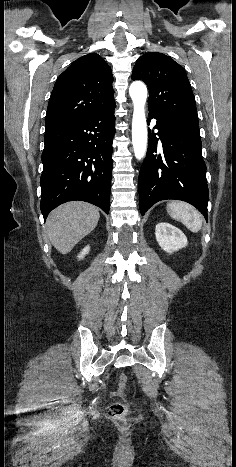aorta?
Returning <instances> with one entry per match:
<instances>
[{
    "instance_id": "1",
    "label": "aorta",
    "mask_w": 236,
    "mask_h": 467,
    "mask_svg": "<svg viewBox=\"0 0 236 467\" xmlns=\"http://www.w3.org/2000/svg\"><path fill=\"white\" fill-rule=\"evenodd\" d=\"M129 94L133 102L132 118V144L135 157L144 158L147 150V123L145 116V103L147 88L141 81H134L129 87Z\"/></svg>"
}]
</instances>
